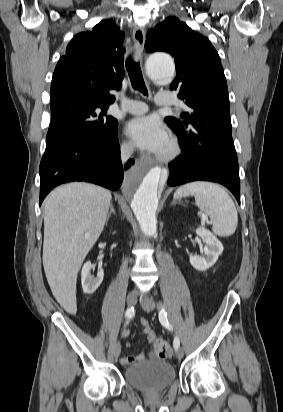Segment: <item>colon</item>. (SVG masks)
Returning a JSON list of instances; mask_svg holds the SVG:
<instances>
[{"label": "colon", "instance_id": "1", "mask_svg": "<svg viewBox=\"0 0 283 412\" xmlns=\"http://www.w3.org/2000/svg\"><path fill=\"white\" fill-rule=\"evenodd\" d=\"M154 354L158 358H166L171 355V346L168 342L163 340H155L153 342Z\"/></svg>", "mask_w": 283, "mask_h": 412}]
</instances>
